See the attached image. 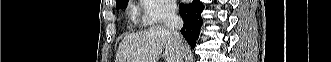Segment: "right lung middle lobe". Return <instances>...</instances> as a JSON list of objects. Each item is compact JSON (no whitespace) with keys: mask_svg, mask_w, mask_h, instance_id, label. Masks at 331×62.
Segmentation results:
<instances>
[{"mask_svg":"<svg viewBox=\"0 0 331 62\" xmlns=\"http://www.w3.org/2000/svg\"><path fill=\"white\" fill-rule=\"evenodd\" d=\"M128 2L126 0H122L121 2L116 3V8L120 9L123 8L125 9L127 7Z\"/></svg>","mask_w":331,"mask_h":62,"instance_id":"1","label":"right lung middle lobe"}]
</instances>
